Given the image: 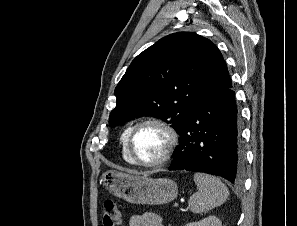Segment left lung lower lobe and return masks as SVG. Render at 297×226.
I'll return each instance as SVG.
<instances>
[{
  "mask_svg": "<svg viewBox=\"0 0 297 226\" xmlns=\"http://www.w3.org/2000/svg\"><path fill=\"white\" fill-rule=\"evenodd\" d=\"M230 88L210 90L198 101L178 132L179 145L169 170L204 172L241 183L244 157Z\"/></svg>",
  "mask_w": 297,
  "mask_h": 226,
  "instance_id": "1",
  "label": "left lung lower lobe"
}]
</instances>
